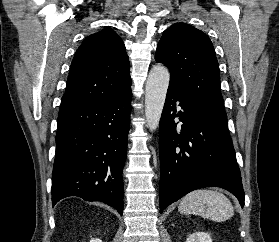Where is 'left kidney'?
<instances>
[{
	"label": "left kidney",
	"instance_id": "obj_1",
	"mask_svg": "<svg viewBox=\"0 0 279 242\" xmlns=\"http://www.w3.org/2000/svg\"><path fill=\"white\" fill-rule=\"evenodd\" d=\"M186 242H212V239L208 233L196 232L189 235Z\"/></svg>",
	"mask_w": 279,
	"mask_h": 242
}]
</instances>
